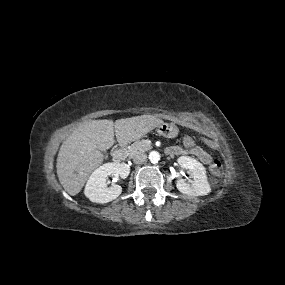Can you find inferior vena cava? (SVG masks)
Here are the masks:
<instances>
[{
    "label": "inferior vena cava",
    "mask_w": 285,
    "mask_h": 285,
    "mask_svg": "<svg viewBox=\"0 0 285 285\" xmlns=\"http://www.w3.org/2000/svg\"><path fill=\"white\" fill-rule=\"evenodd\" d=\"M147 159V155L145 153H137L134 157H133V161L136 164H140L145 162Z\"/></svg>",
    "instance_id": "inferior-vena-cava-1"
}]
</instances>
